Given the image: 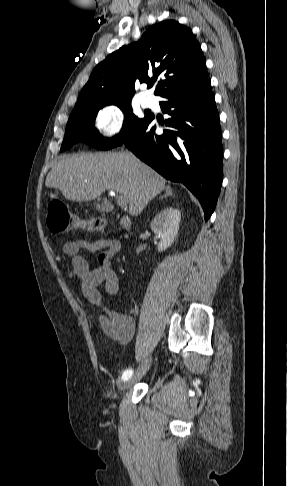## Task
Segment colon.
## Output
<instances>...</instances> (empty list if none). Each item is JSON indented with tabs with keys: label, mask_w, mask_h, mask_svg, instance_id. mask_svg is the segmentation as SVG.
<instances>
[{
	"label": "colon",
	"mask_w": 287,
	"mask_h": 486,
	"mask_svg": "<svg viewBox=\"0 0 287 486\" xmlns=\"http://www.w3.org/2000/svg\"><path fill=\"white\" fill-rule=\"evenodd\" d=\"M47 226L52 233H66L75 228L89 231H101L105 221L100 218L79 220L68 209L67 205L59 200H53L46 206Z\"/></svg>",
	"instance_id": "obj_1"
}]
</instances>
